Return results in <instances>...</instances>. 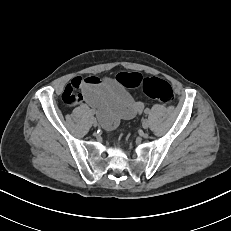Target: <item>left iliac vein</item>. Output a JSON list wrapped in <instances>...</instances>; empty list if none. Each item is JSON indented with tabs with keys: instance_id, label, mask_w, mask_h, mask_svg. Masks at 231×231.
Segmentation results:
<instances>
[{
	"instance_id": "left-iliac-vein-1",
	"label": "left iliac vein",
	"mask_w": 231,
	"mask_h": 231,
	"mask_svg": "<svg viewBox=\"0 0 231 231\" xmlns=\"http://www.w3.org/2000/svg\"><path fill=\"white\" fill-rule=\"evenodd\" d=\"M149 125H150L149 120L148 119H143V121H142V127L144 129H147L149 127Z\"/></svg>"
}]
</instances>
